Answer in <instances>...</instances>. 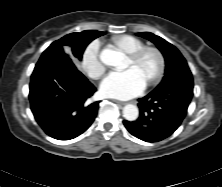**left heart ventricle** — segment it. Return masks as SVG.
<instances>
[{"instance_id":"b2bd125f","label":"left heart ventricle","mask_w":222,"mask_h":187,"mask_svg":"<svg viewBox=\"0 0 222 187\" xmlns=\"http://www.w3.org/2000/svg\"><path fill=\"white\" fill-rule=\"evenodd\" d=\"M135 69L142 79L147 83L157 72L158 58L154 53H147L138 62L133 63L130 59H127L125 69Z\"/></svg>"}]
</instances>
